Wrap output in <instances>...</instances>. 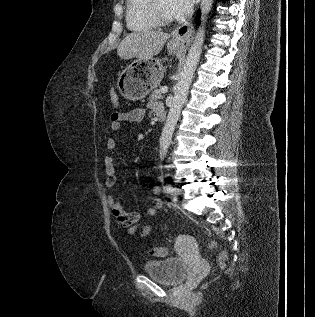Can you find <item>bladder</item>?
Listing matches in <instances>:
<instances>
[{"label":"bladder","instance_id":"bladder-1","mask_svg":"<svg viewBox=\"0 0 315 317\" xmlns=\"http://www.w3.org/2000/svg\"><path fill=\"white\" fill-rule=\"evenodd\" d=\"M144 272L159 282L176 285L185 279L187 265L177 257L149 260L144 264Z\"/></svg>","mask_w":315,"mask_h":317}]
</instances>
